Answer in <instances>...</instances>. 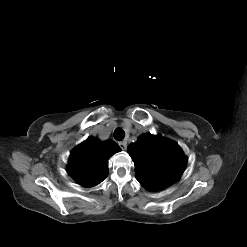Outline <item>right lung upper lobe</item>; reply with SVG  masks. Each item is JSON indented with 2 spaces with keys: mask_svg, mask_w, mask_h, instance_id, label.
I'll return each instance as SVG.
<instances>
[{
  "mask_svg": "<svg viewBox=\"0 0 247 247\" xmlns=\"http://www.w3.org/2000/svg\"><path fill=\"white\" fill-rule=\"evenodd\" d=\"M120 151L113 141L90 137L75 147L68 161V173L82 186L92 187L108 175V159Z\"/></svg>",
  "mask_w": 247,
  "mask_h": 247,
  "instance_id": "right-lung-upper-lobe-1",
  "label": "right lung upper lobe"
}]
</instances>
